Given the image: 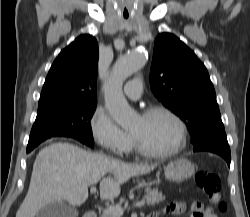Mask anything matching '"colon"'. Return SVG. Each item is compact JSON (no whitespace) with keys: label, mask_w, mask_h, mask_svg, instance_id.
Returning a JSON list of instances; mask_svg holds the SVG:
<instances>
[{"label":"colon","mask_w":250,"mask_h":217,"mask_svg":"<svg viewBox=\"0 0 250 217\" xmlns=\"http://www.w3.org/2000/svg\"><path fill=\"white\" fill-rule=\"evenodd\" d=\"M197 186L207 195L210 201L221 212L227 211V204L223 199L222 185L219 176L210 171H199L195 176ZM204 205L196 203L192 205L191 217H202Z\"/></svg>","instance_id":"colon-1"}]
</instances>
